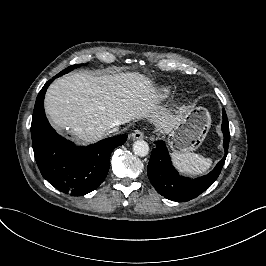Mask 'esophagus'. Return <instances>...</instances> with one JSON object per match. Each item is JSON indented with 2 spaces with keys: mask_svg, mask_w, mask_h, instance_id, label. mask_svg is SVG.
<instances>
[{
  "mask_svg": "<svg viewBox=\"0 0 266 266\" xmlns=\"http://www.w3.org/2000/svg\"><path fill=\"white\" fill-rule=\"evenodd\" d=\"M131 137L133 140L137 139H143L144 138V133L140 130H136L131 134Z\"/></svg>",
  "mask_w": 266,
  "mask_h": 266,
  "instance_id": "1",
  "label": "esophagus"
}]
</instances>
